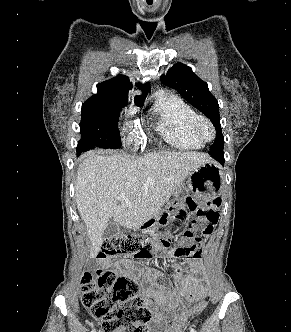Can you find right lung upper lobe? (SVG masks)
<instances>
[{
	"instance_id": "cb5924a9",
	"label": "right lung upper lobe",
	"mask_w": 291,
	"mask_h": 332,
	"mask_svg": "<svg viewBox=\"0 0 291 332\" xmlns=\"http://www.w3.org/2000/svg\"><path fill=\"white\" fill-rule=\"evenodd\" d=\"M142 90L141 96L135 97V102H141L145 99L150 89V84H138ZM132 89V83L125 75H118L110 80L97 85V94L88 100H127V93Z\"/></svg>"
}]
</instances>
